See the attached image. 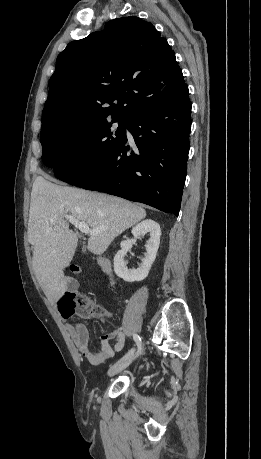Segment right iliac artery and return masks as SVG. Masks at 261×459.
<instances>
[{"label":"right iliac artery","mask_w":261,"mask_h":459,"mask_svg":"<svg viewBox=\"0 0 261 459\" xmlns=\"http://www.w3.org/2000/svg\"><path fill=\"white\" fill-rule=\"evenodd\" d=\"M133 339L134 341L136 342V345L138 346V353L140 352L141 350V338L138 334H134L133 335ZM132 353V350L130 352H128L124 357H122L120 360H125L127 359Z\"/></svg>","instance_id":"right-iliac-artery-1"}]
</instances>
